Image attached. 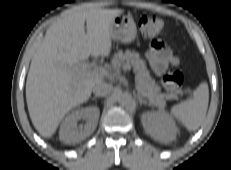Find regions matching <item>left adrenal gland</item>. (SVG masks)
<instances>
[{
    "mask_svg": "<svg viewBox=\"0 0 231 170\" xmlns=\"http://www.w3.org/2000/svg\"><path fill=\"white\" fill-rule=\"evenodd\" d=\"M138 100L140 103V106H142L143 104L145 105H151V103H148L145 99H143L140 95H138Z\"/></svg>",
    "mask_w": 231,
    "mask_h": 170,
    "instance_id": "left-adrenal-gland-1",
    "label": "left adrenal gland"
}]
</instances>
